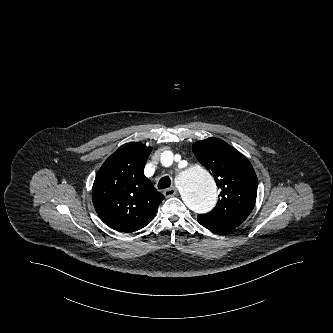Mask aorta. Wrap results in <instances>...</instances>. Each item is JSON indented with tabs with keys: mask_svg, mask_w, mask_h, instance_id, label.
Returning a JSON list of instances; mask_svg holds the SVG:
<instances>
[{
	"mask_svg": "<svg viewBox=\"0 0 333 333\" xmlns=\"http://www.w3.org/2000/svg\"><path fill=\"white\" fill-rule=\"evenodd\" d=\"M164 157L172 158L173 153L166 151ZM178 181L181 198L190 210L197 214L212 211L217 202V189L213 177L206 169L189 162Z\"/></svg>",
	"mask_w": 333,
	"mask_h": 333,
	"instance_id": "aorta-1",
	"label": "aorta"
}]
</instances>
